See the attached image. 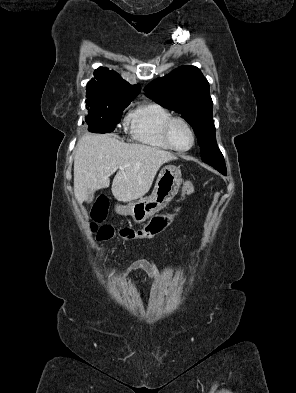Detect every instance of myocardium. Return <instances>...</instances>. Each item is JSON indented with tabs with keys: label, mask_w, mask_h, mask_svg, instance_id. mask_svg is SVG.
Returning <instances> with one entry per match:
<instances>
[{
	"label": "myocardium",
	"mask_w": 296,
	"mask_h": 393,
	"mask_svg": "<svg viewBox=\"0 0 296 393\" xmlns=\"http://www.w3.org/2000/svg\"><path fill=\"white\" fill-rule=\"evenodd\" d=\"M175 122H182V123H184V124L187 126V128L189 129V131H190V133H191V136H192V142H191V145H190L188 148L181 149V148H178V147L173 143V141H172V139H171V128H172V126H173V124H174ZM163 136H164V139H165L166 143H167L173 150L178 151V152H187V151L191 150V149L194 147L195 143H196V133H195V131H194L193 126L191 125V123H190L186 118L181 117V116H172L171 118H169V119L167 120V122L165 123L164 128H163Z\"/></svg>",
	"instance_id": "obj_1"
}]
</instances>
